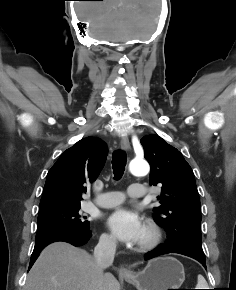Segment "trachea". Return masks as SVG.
I'll return each mask as SVG.
<instances>
[{
    "instance_id": "3493384b",
    "label": "trachea",
    "mask_w": 236,
    "mask_h": 290,
    "mask_svg": "<svg viewBox=\"0 0 236 290\" xmlns=\"http://www.w3.org/2000/svg\"><path fill=\"white\" fill-rule=\"evenodd\" d=\"M126 162H127V156L124 151L118 150L113 153L112 168H113L115 180L121 179L125 170Z\"/></svg>"
}]
</instances>
